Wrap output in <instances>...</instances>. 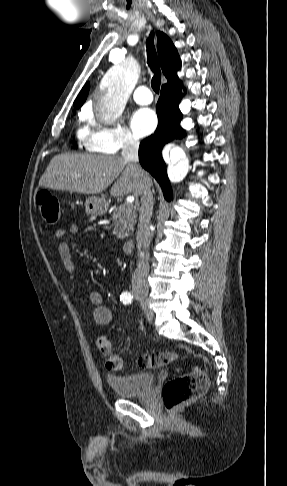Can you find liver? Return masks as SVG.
<instances>
[{"label":"liver","mask_w":287,"mask_h":486,"mask_svg":"<svg viewBox=\"0 0 287 486\" xmlns=\"http://www.w3.org/2000/svg\"><path fill=\"white\" fill-rule=\"evenodd\" d=\"M144 174L145 177L140 178L136 165L120 156L65 153L52 158L39 180V186L52 190L98 194L120 175L111 188V195L120 197L132 194L138 197L144 187L152 186L151 178L145 171Z\"/></svg>","instance_id":"liver-1"}]
</instances>
